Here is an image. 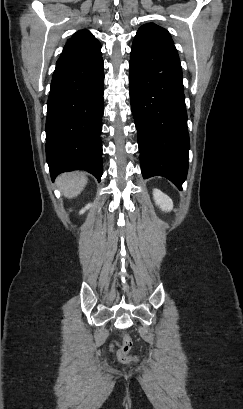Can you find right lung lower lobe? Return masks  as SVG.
I'll return each mask as SVG.
<instances>
[{
    "mask_svg": "<svg viewBox=\"0 0 243 409\" xmlns=\"http://www.w3.org/2000/svg\"><path fill=\"white\" fill-rule=\"evenodd\" d=\"M103 83L101 46L56 64L45 127L52 180L62 172L79 169L100 180Z\"/></svg>",
    "mask_w": 243,
    "mask_h": 409,
    "instance_id": "obj_1",
    "label": "right lung lower lobe"
}]
</instances>
